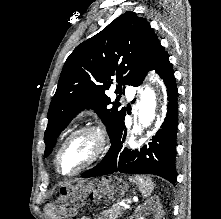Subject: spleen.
Wrapping results in <instances>:
<instances>
[{"label": "spleen", "mask_w": 221, "mask_h": 219, "mask_svg": "<svg viewBox=\"0 0 221 219\" xmlns=\"http://www.w3.org/2000/svg\"><path fill=\"white\" fill-rule=\"evenodd\" d=\"M130 180L137 184L143 197H148L152 193L153 183L150 178L136 176L133 179L131 178Z\"/></svg>", "instance_id": "3e777b00"}]
</instances>
